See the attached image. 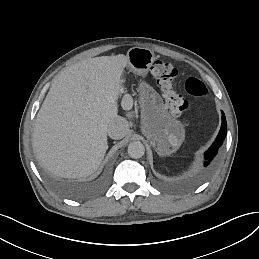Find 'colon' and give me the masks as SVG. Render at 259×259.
Listing matches in <instances>:
<instances>
[{
  "label": "colon",
  "mask_w": 259,
  "mask_h": 259,
  "mask_svg": "<svg viewBox=\"0 0 259 259\" xmlns=\"http://www.w3.org/2000/svg\"><path fill=\"white\" fill-rule=\"evenodd\" d=\"M151 73L162 91L168 111L173 116H181L187 111L189 104L175 86L176 67L168 62L156 61L151 68ZM184 91L196 99L205 98L208 92L206 85L197 77H190L185 81Z\"/></svg>",
  "instance_id": "colon-1"
}]
</instances>
